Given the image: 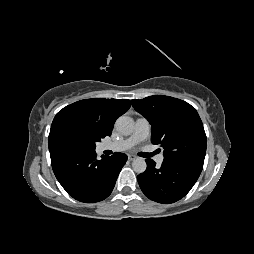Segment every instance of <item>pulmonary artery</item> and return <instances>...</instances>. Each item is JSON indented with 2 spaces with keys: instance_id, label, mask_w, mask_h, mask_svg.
<instances>
[{
  "instance_id": "1",
  "label": "pulmonary artery",
  "mask_w": 254,
  "mask_h": 254,
  "mask_svg": "<svg viewBox=\"0 0 254 254\" xmlns=\"http://www.w3.org/2000/svg\"><path fill=\"white\" fill-rule=\"evenodd\" d=\"M150 123L145 118H138L135 123V128L133 133L122 140L111 142V143H105L102 145V149L104 150H113V151H124L132 148L136 144L144 141L147 139L150 135ZM164 159V156L162 154H159L156 156L155 161L160 164L162 163Z\"/></svg>"
}]
</instances>
